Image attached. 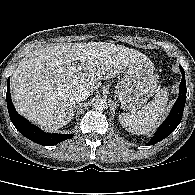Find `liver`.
<instances>
[{
    "label": "liver",
    "instance_id": "obj_1",
    "mask_svg": "<svg viewBox=\"0 0 195 195\" xmlns=\"http://www.w3.org/2000/svg\"><path fill=\"white\" fill-rule=\"evenodd\" d=\"M146 56L106 42L70 43L28 53L11 77V95L18 113L47 131L67 125L75 111L73 92H90L101 81L119 75ZM83 71H77L78 64Z\"/></svg>",
    "mask_w": 195,
    "mask_h": 195
}]
</instances>
